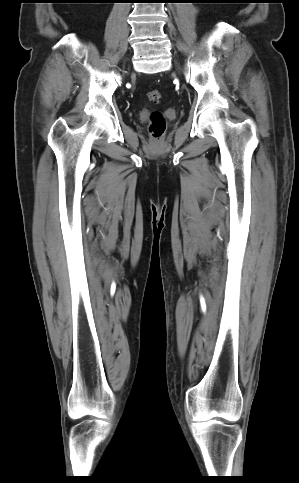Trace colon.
Masks as SVG:
<instances>
[{
  "instance_id": "obj_1",
  "label": "colon",
  "mask_w": 299,
  "mask_h": 483,
  "mask_svg": "<svg viewBox=\"0 0 299 483\" xmlns=\"http://www.w3.org/2000/svg\"><path fill=\"white\" fill-rule=\"evenodd\" d=\"M148 99L151 102L158 103L161 100V92L159 90H152L148 93ZM166 129L165 119L159 112H154L151 115L149 123V133L154 139L162 137Z\"/></svg>"
}]
</instances>
